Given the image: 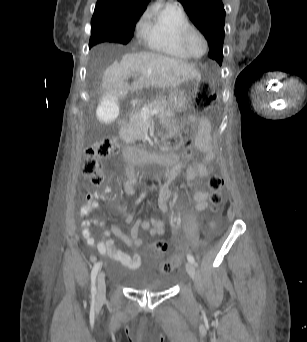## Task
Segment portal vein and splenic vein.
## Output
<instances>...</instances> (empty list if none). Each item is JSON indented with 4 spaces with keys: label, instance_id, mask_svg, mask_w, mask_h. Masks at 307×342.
<instances>
[{
    "label": "portal vein and splenic vein",
    "instance_id": "18ae733b",
    "mask_svg": "<svg viewBox=\"0 0 307 342\" xmlns=\"http://www.w3.org/2000/svg\"><path fill=\"white\" fill-rule=\"evenodd\" d=\"M159 110H149L148 112H142V115L145 119H148L150 116H153V114H158Z\"/></svg>",
    "mask_w": 307,
    "mask_h": 342
}]
</instances>
